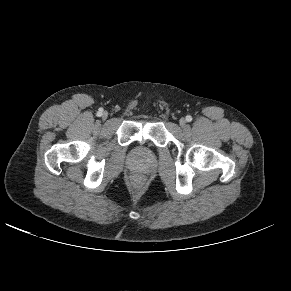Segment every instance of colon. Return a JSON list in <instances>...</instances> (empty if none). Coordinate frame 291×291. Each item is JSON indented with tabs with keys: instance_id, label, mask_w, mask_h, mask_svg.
<instances>
[{
	"instance_id": "obj_1",
	"label": "colon",
	"mask_w": 291,
	"mask_h": 291,
	"mask_svg": "<svg viewBox=\"0 0 291 291\" xmlns=\"http://www.w3.org/2000/svg\"><path fill=\"white\" fill-rule=\"evenodd\" d=\"M139 178H140L139 176H135V179H137V180H138Z\"/></svg>"
}]
</instances>
